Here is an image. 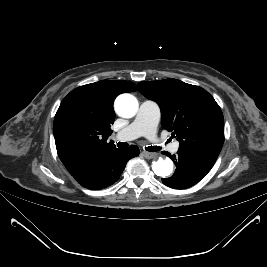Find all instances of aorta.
Returning a JSON list of instances; mask_svg holds the SVG:
<instances>
[{
    "label": "aorta",
    "mask_w": 267,
    "mask_h": 267,
    "mask_svg": "<svg viewBox=\"0 0 267 267\" xmlns=\"http://www.w3.org/2000/svg\"><path fill=\"white\" fill-rule=\"evenodd\" d=\"M115 111L123 118H132L138 111V101L131 94H121L115 100ZM152 170L157 176L168 177L173 172V162L169 158H159L152 162Z\"/></svg>",
    "instance_id": "1"
}]
</instances>
